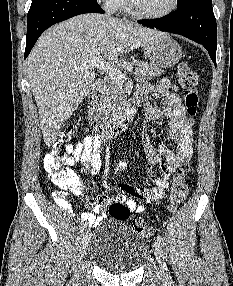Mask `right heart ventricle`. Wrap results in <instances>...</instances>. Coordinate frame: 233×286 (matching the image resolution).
Wrapping results in <instances>:
<instances>
[{
  "label": "right heart ventricle",
  "instance_id": "obj_1",
  "mask_svg": "<svg viewBox=\"0 0 233 286\" xmlns=\"http://www.w3.org/2000/svg\"><path fill=\"white\" fill-rule=\"evenodd\" d=\"M117 9L119 10H122V11H125V12H128L129 11V7L127 5V2L126 0H121Z\"/></svg>",
  "mask_w": 233,
  "mask_h": 286
}]
</instances>
